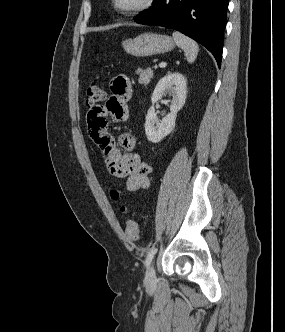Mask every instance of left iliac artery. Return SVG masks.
<instances>
[{"mask_svg": "<svg viewBox=\"0 0 285 332\" xmlns=\"http://www.w3.org/2000/svg\"><path fill=\"white\" fill-rule=\"evenodd\" d=\"M157 249L156 247H152L148 253H147V256H146V260H145V265L146 267H148L150 265V263L152 262V259L156 253Z\"/></svg>", "mask_w": 285, "mask_h": 332, "instance_id": "44dca946", "label": "left iliac artery"}]
</instances>
